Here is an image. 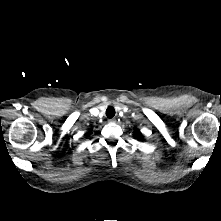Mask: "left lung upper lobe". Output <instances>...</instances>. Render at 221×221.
<instances>
[{
  "label": "left lung upper lobe",
  "instance_id": "left-lung-upper-lobe-1",
  "mask_svg": "<svg viewBox=\"0 0 221 221\" xmlns=\"http://www.w3.org/2000/svg\"><path fill=\"white\" fill-rule=\"evenodd\" d=\"M135 137L138 138V139H141L142 138V134L138 130H136L135 131Z\"/></svg>",
  "mask_w": 221,
  "mask_h": 221
}]
</instances>
